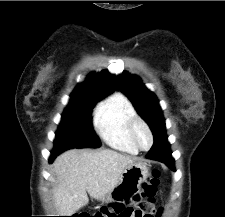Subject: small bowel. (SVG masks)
<instances>
[{
  "label": "small bowel",
  "instance_id": "small-bowel-1",
  "mask_svg": "<svg viewBox=\"0 0 225 217\" xmlns=\"http://www.w3.org/2000/svg\"><path fill=\"white\" fill-rule=\"evenodd\" d=\"M136 193L135 190L128 191L116 201L120 209L115 217H154L155 209L152 200L134 201L133 196Z\"/></svg>",
  "mask_w": 225,
  "mask_h": 217
}]
</instances>
